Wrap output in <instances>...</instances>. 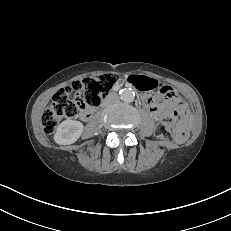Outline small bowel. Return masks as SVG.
<instances>
[{"mask_svg": "<svg viewBox=\"0 0 231 231\" xmlns=\"http://www.w3.org/2000/svg\"><path fill=\"white\" fill-rule=\"evenodd\" d=\"M140 77L148 80L151 84L158 86V83L155 79L146 76H140ZM143 96L148 99V103H149L148 108L150 109L152 115L156 119H161L164 116L170 115L176 106L183 105L180 97L172 89L170 91V96L167 97V100L163 104H159L158 102L154 101L147 94H143ZM86 116L87 113L84 112L82 114V118L86 119L85 118Z\"/></svg>", "mask_w": 231, "mask_h": 231, "instance_id": "1", "label": "small bowel"}]
</instances>
